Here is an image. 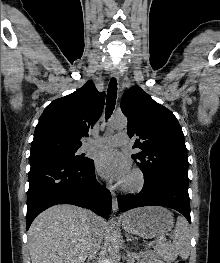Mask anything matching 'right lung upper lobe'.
<instances>
[{"label": "right lung upper lobe", "instance_id": "1", "mask_svg": "<svg viewBox=\"0 0 220 263\" xmlns=\"http://www.w3.org/2000/svg\"><path fill=\"white\" fill-rule=\"evenodd\" d=\"M105 94L89 81L75 92L54 100L42 113L36 126L31 155L53 149H69L82 145L100 117Z\"/></svg>", "mask_w": 220, "mask_h": 263}]
</instances>
